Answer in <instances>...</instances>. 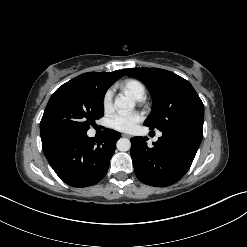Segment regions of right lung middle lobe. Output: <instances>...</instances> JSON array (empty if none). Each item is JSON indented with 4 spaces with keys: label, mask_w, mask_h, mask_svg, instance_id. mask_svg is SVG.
Instances as JSON below:
<instances>
[{
    "label": "right lung middle lobe",
    "mask_w": 247,
    "mask_h": 247,
    "mask_svg": "<svg viewBox=\"0 0 247 247\" xmlns=\"http://www.w3.org/2000/svg\"><path fill=\"white\" fill-rule=\"evenodd\" d=\"M106 89L87 79L71 80L51 96L40 122L41 139L86 134L104 114Z\"/></svg>",
    "instance_id": "1"
}]
</instances>
